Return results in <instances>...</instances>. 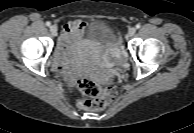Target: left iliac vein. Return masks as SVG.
<instances>
[{"label": "left iliac vein", "instance_id": "4c4485c4", "mask_svg": "<svg viewBox=\"0 0 194 133\" xmlns=\"http://www.w3.org/2000/svg\"><path fill=\"white\" fill-rule=\"evenodd\" d=\"M135 33H136V29L135 28H130L129 31H128L129 37L134 36Z\"/></svg>", "mask_w": 194, "mask_h": 133}]
</instances>
